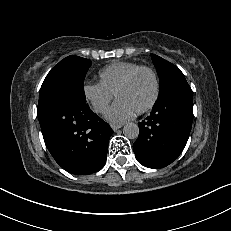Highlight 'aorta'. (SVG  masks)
I'll use <instances>...</instances> for the list:
<instances>
[{
  "label": "aorta",
  "instance_id": "obj_1",
  "mask_svg": "<svg viewBox=\"0 0 231 231\" xmlns=\"http://www.w3.org/2000/svg\"><path fill=\"white\" fill-rule=\"evenodd\" d=\"M123 134L128 139H136L139 135V127L136 123L129 122L123 127Z\"/></svg>",
  "mask_w": 231,
  "mask_h": 231
}]
</instances>
